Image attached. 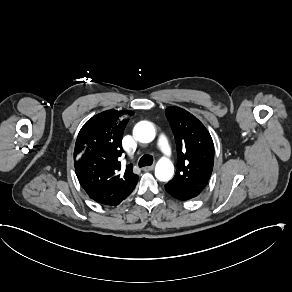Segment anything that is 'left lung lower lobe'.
<instances>
[{"label":"left lung lower lobe","mask_w":292,"mask_h":292,"mask_svg":"<svg viewBox=\"0 0 292 292\" xmlns=\"http://www.w3.org/2000/svg\"><path fill=\"white\" fill-rule=\"evenodd\" d=\"M165 190L174 198L179 199L181 201H187L197 197L200 193L195 192L193 190H188L181 188L175 184L168 182L165 185Z\"/></svg>","instance_id":"1"}]
</instances>
